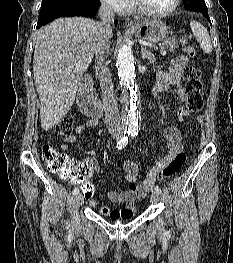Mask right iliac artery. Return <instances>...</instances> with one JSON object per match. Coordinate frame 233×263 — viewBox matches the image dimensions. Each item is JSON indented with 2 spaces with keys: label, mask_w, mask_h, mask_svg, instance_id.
Returning <instances> with one entry per match:
<instances>
[{
  "label": "right iliac artery",
  "mask_w": 233,
  "mask_h": 263,
  "mask_svg": "<svg viewBox=\"0 0 233 263\" xmlns=\"http://www.w3.org/2000/svg\"><path fill=\"white\" fill-rule=\"evenodd\" d=\"M129 136H130V132H125V133H124V136H123V137L119 140V142L117 143L116 148H118V149L124 148V147L128 144ZM79 192H80L79 188H75V189L73 190V194H74V195L79 194Z\"/></svg>",
  "instance_id": "obj_1"
}]
</instances>
